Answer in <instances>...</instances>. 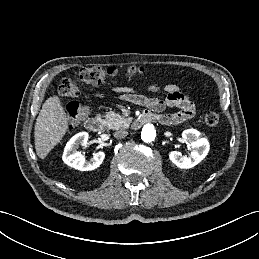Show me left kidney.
Here are the masks:
<instances>
[{
    "mask_svg": "<svg viewBox=\"0 0 259 259\" xmlns=\"http://www.w3.org/2000/svg\"><path fill=\"white\" fill-rule=\"evenodd\" d=\"M182 137L188 141L193 151L188 157L183 156L178 151H172L169 154V159L177 167L181 169H189L200 163L207 156L210 145L207 139L201 137L200 132L196 129L184 130Z\"/></svg>",
    "mask_w": 259,
    "mask_h": 259,
    "instance_id": "1",
    "label": "left kidney"
}]
</instances>
